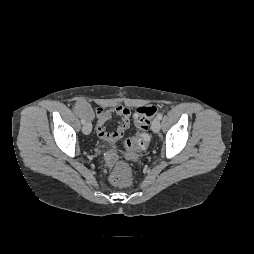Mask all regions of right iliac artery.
Wrapping results in <instances>:
<instances>
[{
	"label": "right iliac artery",
	"mask_w": 254,
	"mask_h": 254,
	"mask_svg": "<svg viewBox=\"0 0 254 254\" xmlns=\"http://www.w3.org/2000/svg\"><path fill=\"white\" fill-rule=\"evenodd\" d=\"M81 122H82V124H84V123H85V119L82 118V119H81Z\"/></svg>",
	"instance_id": "right-iliac-artery-1"
}]
</instances>
